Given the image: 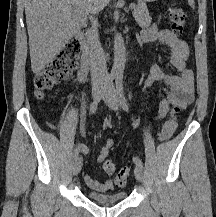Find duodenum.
I'll return each instance as SVG.
<instances>
[{
  "mask_svg": "<svg viewBox=\"0 0 216 217\" xmlns=\"http://www.w3.org/2000/svg\"><path fill=\"white\" fill-rule=\"evenodd\" d=\"M77 41L80 43L82 51L80 55V69L82 73H87L92 64V53L91 48L87 43L86 35L83 31H78L75 35ZM143 41L142 37L138 36L131 39L132 44H136Z\"/></svg>",
  "mask_w": 216,
  "mask_h": 217,
  "instance_id": "1",
  "label": "duodenum"
}]
</instances>
